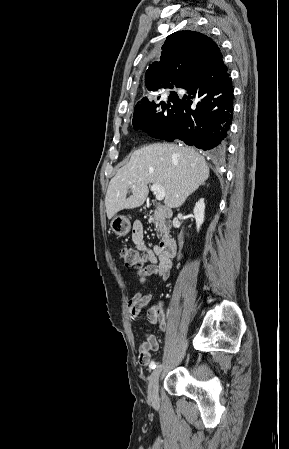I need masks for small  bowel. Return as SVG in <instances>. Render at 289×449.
I'll use <instances>...</instances> for the list:
<instances>
[{"instance_id":"c3829d8e","label":"small bowel","mask_w":289,"mask_h":449,"mask_svg":"<svg viewBox=\"0 0 289 449\" xmlns=\"http://www.w3.org/2000/svg\"><path fill=\"white\" fill-rule=\"evenodd\" d=\"M131 240L134 246L148 256L149 264L137 271L138 281L144 285L152 276L157 277L161 281L168 279L172 262L170 258L161 255L159 249L151 246L144 241L143 226L140 222H136L133 226ZM151 300V294L136 293L129 301V318L131 323L138 322L141 309ZM147 317L150 322L158 324L163 331L166 330V319L160 305L154 304L148 309ZM159 343L153 332H147L144 335V341L138 346L139 363L148 365L151 361V351H157ZM151 363V362H150Z\"/></svg>"}]
</instances>
